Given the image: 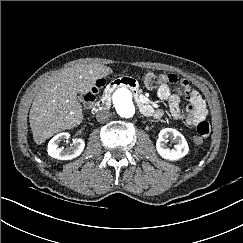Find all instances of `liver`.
Returning <instances> with one entry per match:
<instances>
[{"label": "liver", "instance_id": "1", "mask_svg": "<svg viewBox=\"0 0 243 243\" xmlns=\"http://www.w3.org/2000/svg\"><path fill=\"white\" fill-rule=\"evenodd\" d=\"M112 73L102 64H78L46 79L32 103L29 122L33 139L40 145L54 134L72 129L83 120L77 94L91 90L96 80Z\"/></svg>", "mask_w": 243, "mask_h": 243}]
</instances>
